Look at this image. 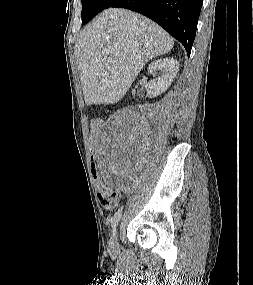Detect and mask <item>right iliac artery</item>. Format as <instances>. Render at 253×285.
I'll return each instance as SVG.
<instances>
[{"mask_svg":"<svg viewBox=\"0 0 253 285\" xmlns=\"http://www.w3.org/2000/svg\"><path fill=\"white\" fill-rule=\"evenodd\" d=\"M121 215H122V208L119 209L115 215H114V219H113V222H112V230L115 231L119 221H120V218H121Z\"/></svg>","mask_w":253,"mask_h":285,"instance_id":"82829eb1","label":"right iliac artery"}]
</instances>
